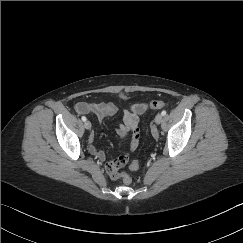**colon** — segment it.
Returning a JSON list of instances; mask_svg holds the SVG:
<instances>
[{"label": "colon", "mask_w": 243, "mask_h": 243, "mask_svg": "<svg viewBox=\"0 0 243 243\" xmlns=\"http://www.w3.org/2000/svg\"><path fill=\"white\" fill-rule=\"evenodd\" d=\"M166 106V103L162 100H153L150 102V107L153 109H161ZM118 161L124 165L128 163V159L125 158L124 156H121ZM140 167V163L137 160H132L128 164V168L132 171L138 170ZM121 180L125 184H129L131 182V177L127 172H122L121 173Z\"/></svg>", "instance_id": "colon-1"}]
</instances>
